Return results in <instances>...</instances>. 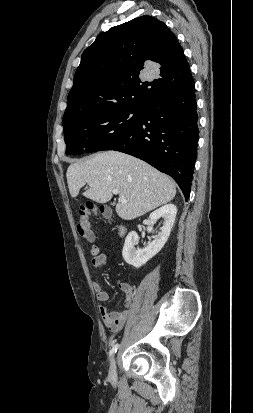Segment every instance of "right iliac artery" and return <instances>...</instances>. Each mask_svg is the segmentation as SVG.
Here are the masks:
<instances>
[{
  "mask_svg": "<svg viewBox=\"0 0 253 413\" xmlns=\"http://www.w3.org/2000/svg\"><path fill=\"white\" fill-rule=\"evenodd\" d=\"M118 346H119L118 344H115L113 348L110 350V353H109L110 357L113 356V354L117 352Z\"/></svg>",
  "mask_w": 253,
  "mask_h": 413,
  "instance_id": "1",
  "label": "right iliac artery"
}]
</instances>
